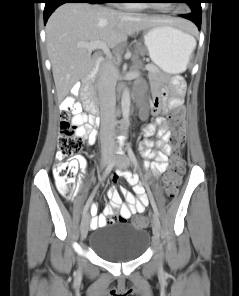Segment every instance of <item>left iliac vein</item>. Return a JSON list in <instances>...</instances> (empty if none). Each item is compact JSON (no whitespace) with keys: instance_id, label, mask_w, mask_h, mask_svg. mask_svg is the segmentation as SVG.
<instances>
[{"instance_id":"obj_1","label":"left iliac vein","mask_w":239,"mask_h":296,"mask_svg":"<svg viewBox=\"0 0 239 296\" xmlns=\"http://www.w3.org/2000/svg\"><path fill=\"white\" fill-rule=\"evenodd\" d=\"M113 160L115 161L116 165L121 169H124L130 165V161L126 155H122L121 158L115 157ZM152 228H153L154 240L158 241L161 225L158 217L155 214H153Z\"/></svg>"}]
</instances>
